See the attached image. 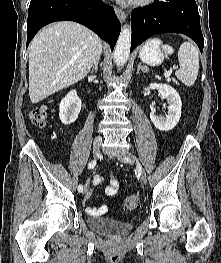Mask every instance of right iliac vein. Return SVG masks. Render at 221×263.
Segmentation results:
<instances>
[{
	"label": "right iliac vein",
	"mask_w": 221,
	"mask_h": 263,
	"mask_svg": "<svg viewBox=\"0 0 221 263\" xmlns=\"http://www.w3.org/2000/svg\"><path fill=\"white\" fill-rule=\"evenodd\" d=\"M101 144H102V139L100 137H95L94 142H93L94 158H97L99 156ZM87 188H88V185L86 184L82 192L86 193Z\"/></svg>",
	"instance_id": "63e3f726"
}]
</instances>
